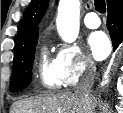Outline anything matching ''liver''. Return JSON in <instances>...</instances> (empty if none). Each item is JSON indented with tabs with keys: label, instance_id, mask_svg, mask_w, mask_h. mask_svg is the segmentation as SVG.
Segmentation results:
<instances>
[{
	"label": "liver",
	"instance_id": "liver-1",
	"mask_svg": "<svg viewBox=\"0 0 123 113\" xmlns=\"http://www.w3.org/2000/svg\"><path fill=\"white\" fill-rule=\"evenodd\" d=\"M96 100L86 101L76 92L39 95L15 103L13 113H93Z\"/></svg>",
	"mask_w": 123,
	"mask_h": 113
}]
</instances>
